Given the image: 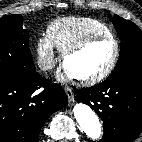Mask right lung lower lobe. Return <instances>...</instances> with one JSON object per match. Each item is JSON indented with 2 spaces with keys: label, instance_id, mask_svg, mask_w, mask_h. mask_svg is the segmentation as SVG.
Returning <instances> with one entry per match:
<instances>
[{
  "label": "right lung lower lobe",
  "instance_id": "1",
  "mask_svg": "<svg viewBox=\"0 0 142 142\" xmlns=\"http://www.w3.org/2000/svg\"><path fill=\"white\" fill-rule=\"evenodd\" d=\"M66 104L64 90L36 70L0 79V142H37L48 117Z\"/></svg>",
  "mask_w": 142,
  "mask_h": 142
}]
</instances>
